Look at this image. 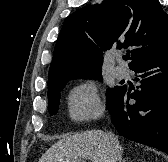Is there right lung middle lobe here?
Listing matches in <instances>:
<instances>
[{
  "label": "right lung middle lobe",
  "mask_w": 168,
  "mask_h": 162,
  "mask_svg": "<svg viewBox=\"0 0 168 162\" xmlns=\"http://www.w3.org/2000/svg\"><path fill=\"white\" fill-rule=\"evenodd\" d=\"M76 78H94V79L100 80L101 79V71H92V72L86 73L82 76L75 77L72 79H76ZM69 80L70 79L61 80V81H57V82H54V83L48 85V100H49L48 111H49L50 115H55L58 112V106H59V102H60V91H62V89L65 87L66 83ZM119 89H120V86H115V87L109 88L107 90V93H106V95H107V103H106L107 109L109 108L110 104L114 100Z\"/></svg>",
  "instance_id": "right-lung-middle-lobe-1"
}]
</instances>
